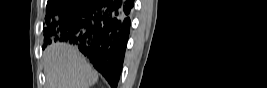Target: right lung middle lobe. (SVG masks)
Returning <instances> with one entry per match:
<instances>
[{
  "mask_svg": "<svg viewBox=\"0 0 267 88\" xmlns=\"http://www.w3.org/2000/svg\"><path fill=\"white\" fill-rule=\"evenodd\" d=\"M73 2L74 0H48L45 19L50 22V20L56 18L60 12L70 6ZM49 37L48 31L45 29L44 42H46Z\"/></svg>",
  "mask_w": 267,
  "mask_h": 88,
  "instance_id": "obj_1",
  "label": "right lung middle lobe"
}]
</instances>
